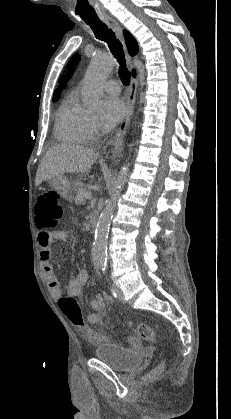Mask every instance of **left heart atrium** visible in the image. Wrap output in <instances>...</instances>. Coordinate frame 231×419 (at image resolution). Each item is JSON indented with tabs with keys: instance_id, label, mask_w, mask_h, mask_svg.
Here are the masks:
<instances>
[{
	"instance_id": "left-heart-atrium-1",
	"label": "left heart atrium",
	"mask_w": 231,
	"mask_h": 419,
	"mask_svg": "<svg viewBox=\"0 0 231 419\" xmlns=\"http://www.w3.org/2000/svg\"><path fill=\"white\" fill-rule=\"evenodd\" d=\"M125 104L118 97H109L104 101L100 124L103 129L114 128L125 115Z\"/></svg>"
}]
</instances>
